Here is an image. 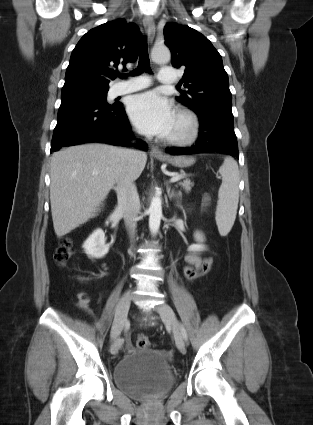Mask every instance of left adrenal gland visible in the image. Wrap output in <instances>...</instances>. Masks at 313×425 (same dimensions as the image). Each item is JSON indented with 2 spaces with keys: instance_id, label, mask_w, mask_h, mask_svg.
<instances>
[{
  "instance_id": "a2214340",
  "label": "left adrenal gland",
  "mask_w": 313,
  "mask_h": 425,
  "mask_svg": "<svg viewBox=\"0 0 313 425\" xmlns=\"http://www.w3.org/2000/svg\"><path fill=\"white\" fill-rule=\"evenodd\" d=\"M166 189H167V194H168V197H169V199L171 200L172 198H175V199H179L180 198V194H178V193H176L175 191H174V189H172L171 190V187L169 186V184L167 183V185H166ZM178 206H180V205H178Z\"/></svg>"
}]
</instances>
